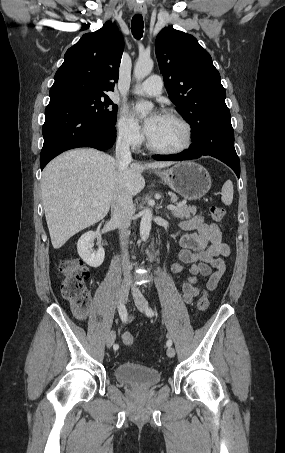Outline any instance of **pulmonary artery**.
<instances>
[{"label":"pulmonary artery","instance_id":"1","mask_svg":"<svg viewBox=\"0 0 285 453\" xmlns=\"http://www.w3.org/2000/svg\"><path fill=\"white\" fill-rule=\"evenodd\" d=\"M163 81L159 75H152L135 87L134 93L144 96H158L162 93Z\"/></svg>","mask_w":285,"mask_h":453}]
</instances>
